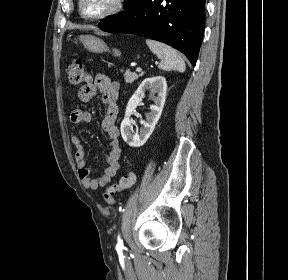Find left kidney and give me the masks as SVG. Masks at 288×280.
Masks as SVG:
<instances>
[{
    "label": "left kidney",
    "instance_id": "5707ae66",
    "mask_svg": "<svg viewBox=\"0 0 288 280\" xmlns=\"http://www.w3.org/2000/svg\"><path fill=\"white\" fill-rule=\"evenodd\" d=\"M147 90L152 94L157 93L154 98V104L150 105V112L147 114L146 121L141 120L143 126L139 134H133V120L131 115L135 112L137 105L142 101V98ZM167 91L166 79L162 76L146 78L142 81L138 89L130 98L125 112V117L121 123V135L123 140L131 147H140L148 140L161 116Z\"/></svg>",
    "mask_w": 288,
    "mask_h": 280
}]
</instances>
